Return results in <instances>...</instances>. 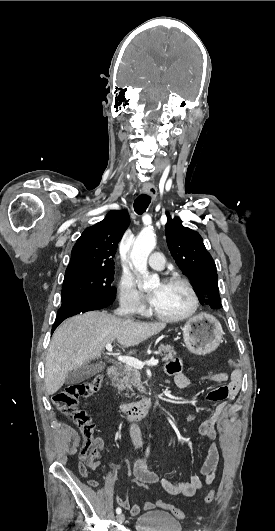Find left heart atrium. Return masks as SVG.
Returning a JSON list of instances; mask_svg holds the SVG:
<instances>
[{
  "label": "left heart atrium",
  "mask_w": 275,
  "mask_h": 531,
  "mask_svg": "<svg viewBox=\"0 0 275 531\" xmlns=\"http://www.w3.org/2000/svg\"><path fill=\"white\" fill-rule=\"evenodd\" d=\"M155 298H156V294L155 293H152L151 296H150V300L154 303L155 301Z\"/></svg>",
  "instance_id": "left-heart-atrium-1"
}]
</instances>
